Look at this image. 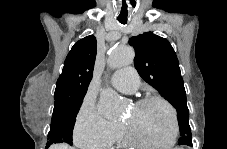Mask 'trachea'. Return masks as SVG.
<instances>
[{
	"mask_svg": "<svg viewBox=\"0 0 227 149\" xmlns=\"http://www.w3.org/2000/svg\"><path fill=\"white\" fill-rule=\"evenodd\" d=\"M121 24L125 25L127 23V21L125 20H118Z\"/></svg>",
	"mask_w": 227,
	"mask_h": 149,
	"instance_id": "obj_1",
	"label": "trachea"
}]
</instances>
